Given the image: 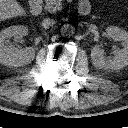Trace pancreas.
<instances>
[{"mask_svg":"<svg viewBox=\"0 0 128 128\" xmlns=\"http://www.w3.org/2000/svg\"><path fill=\"white\" fill-rule=\"evenodd\" d=\"M45 3V9L50 13H54L62 9L61 0H45Z\"/></svg>","mask_w":128,"mask_h":128,"instance_id":"cf45deb5","label":"pancreas"}]
</instances>
